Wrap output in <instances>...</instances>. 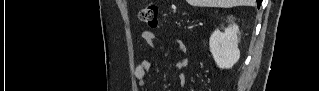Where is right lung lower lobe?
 Returning <instances> with one entry per match:
<instances>
[{
	"mask_svg": "<svg viewBox=\"0 0 319 91\" xmlns=\"http://www.w3.org/2000/svg\"><path fill=\"white\" fill-rule=\"evenodd\" d=\"M256 1H257L258 7H260V4H261L262 0H256Z\"/></svg>",
	"mask_w": 319,
	"mask_h": 91,
	"instance_id": "98d812e1",
	"label": "right lung lower lobe"
}]
</instances>
